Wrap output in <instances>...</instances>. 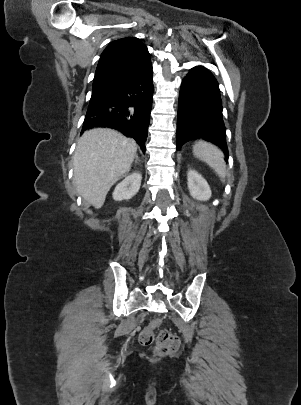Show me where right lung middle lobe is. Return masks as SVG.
Segmentation results:
<instances>
[{
  "label": "right lung middle lobe",
  "instance_id": "dd1d6c3e",
  "mask_svg": "<svg viewBox=\"0 0 301 405\" xmlns=\"http://www.w3.org/2000/svg\"><path fill=\"white\" fill-rule=\"evenodd\" d=\"M109 95H110V93H106V92L92 93V97L90 99L89 107L102 102Z\"/></svg>",
  "mask_w": 301,
  "mask_h": 405
}]
</instances>
